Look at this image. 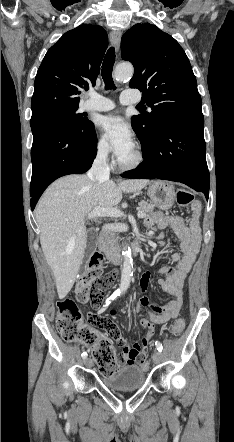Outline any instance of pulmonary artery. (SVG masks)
<instances>
[{
    "label": "pulmonary artery",
    "instance_id": "obj_1",
    "mask_svg": "<svg viewBox=\"0 0 234 442\" xmlns=\"http://www.w3.org/2000/svg\"><path fill=\"white\" fill-rule=\"evenodd\" d=\"M140 101V97L128 91L123 92L120 97V103L123 105L134 104ZM85 108L89 111L105 112L115 108L112 100L103 97L96 92L89 93V99L85 103Z\"/></svg>",
    "mask_w": 234,
    "mask_h": 442
}]
</instances>
